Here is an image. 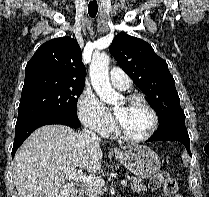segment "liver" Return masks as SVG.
<instances>
[{"label": "liver", "mask_w": 209, "mask_h": 197, "mask_svg": "<svg viewBox=\"0 0 209 197\" xmlns=\"http://www.w3.org/2000/svg\"><path fill=\"white\" fill-rule=\"evenodd\" d=\"M103 152L99 141L65 125L35 130L14 157L13 179L19 197H70L75 183L63 170L100 171Z\"/></svg>", "instance_id": "6515ba94"}]
</instances>
